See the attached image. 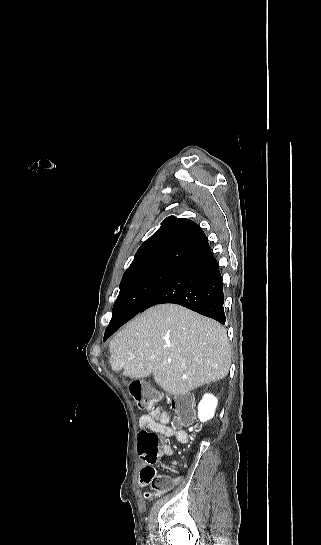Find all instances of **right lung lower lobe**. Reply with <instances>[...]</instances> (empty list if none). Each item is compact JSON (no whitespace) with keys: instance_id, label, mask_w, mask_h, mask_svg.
Here are the masks:
<instances>
[{"instance_id":"98d812e1","label":"right lung lower lobe","mask_w":321,"mask_h":545,"mask_svg":"<svg viewBox=\"0 0 321 545\" xmlns=\"http://www.w3.org/2000/svg\"><path fill=\"white\" fill-rule=\"evenodd\" d=\"M174 303L225 324L222 277L210 246L178 267L139 312L156 304ZM130 319L110 322L104 340Z\"/></svg>"}]
</instances>
